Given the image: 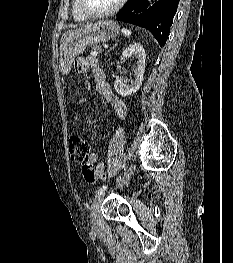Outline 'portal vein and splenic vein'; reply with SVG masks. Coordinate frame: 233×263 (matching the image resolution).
I'll return each mask as SVG.
<instances>
[{
	"label": "portal vein and splenic vein",
	"mask_w": 233,
	"mask_h": 263,
	"mask_svg": "<svg viewBox=\"0 0 233 263\" xmlns=\"http://www.w3.org/2000/svg\"><path fill=\"white\" fill-rule=\"evenodd\" d=\"M91 55H92V56H97V55H98V52H97V51H92V52H91Z\"/></svg>",
	"instance_id": "portal-vein-and-splenic-vein-1"
}]
</instances>
